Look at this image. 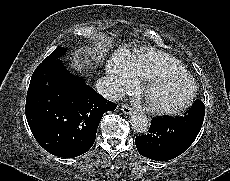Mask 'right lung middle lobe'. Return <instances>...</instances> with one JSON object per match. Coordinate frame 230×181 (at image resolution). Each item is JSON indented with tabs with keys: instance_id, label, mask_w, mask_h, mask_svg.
I'll return each mask as SVG.
<instances>
[{
	"instance_id": "obj_1",
	"label": "right lung middle lobe",
	"mask_w": 230,
	"mask_h": 181,
	"mask_svg": "<svg viewBox=\"0 0 230 181\" xmlns=\"http://www.w3.org/2000/svg\"><path fill=\"white\" fill-rule=\"evenodd\" d=\"M66 52V48L59 47L55 51H53L47 58L43 61L48 62L57 58H60Z\"/></svg>"
}]
</instances>
